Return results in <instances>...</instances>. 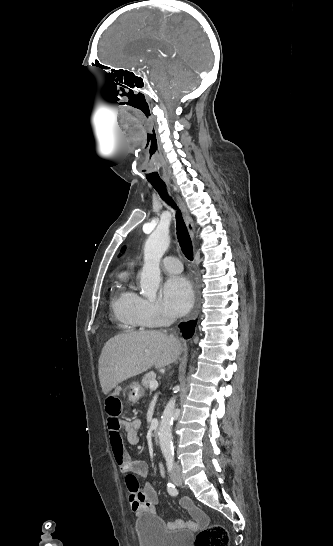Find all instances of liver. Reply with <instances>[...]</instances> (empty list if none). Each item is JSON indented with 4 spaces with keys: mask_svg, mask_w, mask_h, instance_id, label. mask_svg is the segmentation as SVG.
<instances>
[{
    "mask_svg": "<svg viewBox=\"0 0 333 546\" xmlns=\"http://www.w3.org/2000/svg\"><path fill=\"white\" fill-rule=\"evenodd\" d=\"M181 343L160 331H139L115 336L106 342L99 358V380L108 394L122 381L151 367L164 368L181 354Z\"/></svg>",
    "mask_w": 333,
    "mask_h": 546,
    "instance_id": "liver-1",
    "label": "liver"
}]
</instances>
